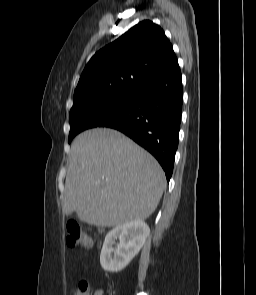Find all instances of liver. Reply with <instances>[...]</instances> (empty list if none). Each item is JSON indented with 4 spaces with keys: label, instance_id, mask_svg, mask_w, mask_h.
<instances>
[{
    "label": "liver",
    "instance_id": "1",
    "mask_svg": "<svg viewBox=\"0 0 256 295\" xmlns=\"http://www.w3.org/2000/svg\"><path fill=\"white\" fill-rule=\"evenodd\" d=\"M165 188L160 164L131 139L113 129L87 130L71 147L62 211L101 227L143 221Z\"/></svg>",
    "mask_w": 256,
    "mask_h": 295
}]
</instances>
